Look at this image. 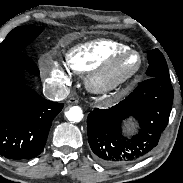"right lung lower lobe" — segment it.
<instances>
[{
  "mask_svg": "<svg viewBox=\"0 0 183 183\" xmlns=\"http://www.w3.org/2000/svg\"><path fill=\"white\" fill-rule=\"evenodd\" d=\"M39 70L24 52L0 60V155L30 159L42 151L53 119L63 104L44 99L28 87L22 73Z\"/></svg>",
  "mask_w": 183,
  "mask_h": 183,
  "instance_id": "98d812e1",
  "label": "right lung lower lobe"
}]
</instances>
